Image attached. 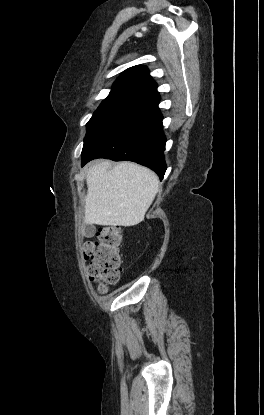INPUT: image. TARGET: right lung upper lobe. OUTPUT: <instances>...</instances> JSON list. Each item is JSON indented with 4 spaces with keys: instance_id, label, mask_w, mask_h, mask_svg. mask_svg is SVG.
<instances>
[{
    "instance_id": "right-lung-upper-lobe-1",
    "label": "right lung upper lobe",
    "mask_w": 264,
    "mask_h": 415,
    "mask_svg": "<svg viewBox=\"0 0 264 415\" xmlns=\"http://www.w3.org/2000/svg\"><path fill=\"white\" fill-rule=\"evenodd\" d=\"M109 95L137 98L142 101L159 96L157 84L146 67L138 65L125 70L114 82Z\"/></svg>"
}]
</instances>
